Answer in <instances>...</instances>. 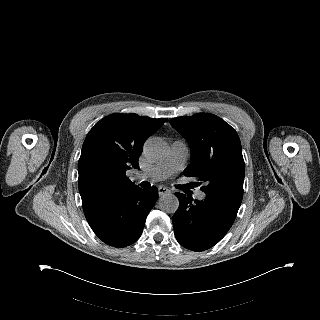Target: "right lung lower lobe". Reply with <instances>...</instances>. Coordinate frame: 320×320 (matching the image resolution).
I'll use <instances>...</instances> for the list:
<instances>
[{
  "mask_svg": "<svg viewBox=\"0 0 320 320\" xmlns=\"http://www.w3.org/2000/svg\"><path fill=\"white\" fill-rule=\"evenodd\" d=\"M157 199L156 187L145 190L134 186L100 198L83 210L90 227L104 243L122 248L141 236Z\"/></svg>",
  "mask_w": 320,
  "mask_h": 320,
  "instance_id": "right-lung-lower-lobe-1",
  "label": "right lung lower lobe"
}]
</instances>
